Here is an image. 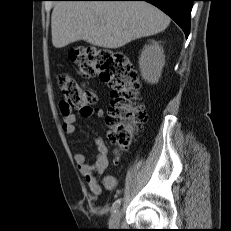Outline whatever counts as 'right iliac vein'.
Instances as JSON below:
<instances>
[{
  "label": "right iliac vein",
  "instance_id": "right-iliac-vein-1",
  "mask_svg": "<svg viewBox=\"0 0 231 231\" xmlns=\"http://www.w3.org/2000/svg\"><path fill=\"white\" fill-rule=\"evenodd\" d=\"M120 218H121V211L119 209H117L111 216L110 220H109V227L116 229L119 227V222H120Z\"/></svg>",
  "mask_w": 231,
  "mask_h": 231
}]
</instances>
